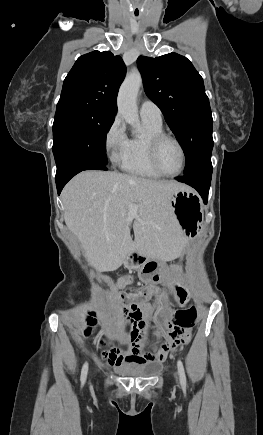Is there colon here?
I'll return each mask as SVG.
<instances>
[{
  "label": "colon",
  "instance_id": "obj_1",
  "mask_svg": "<svg viewBox=\"0 0 263 435\" xmlns=\"http://www.w3.org/2000/svg\"><path fill=\"white\" fill-rule=\"evenodd\" d=\"M152 295V291H147L144 293L118 294L117 298L123 301L130 299H137L141 301V297H148ZM141 303L147 307L145 303ZM95 316V312H91L89 314L88 323L90 327L88 330H86L87 334L94 332V327L97 324ZM197 319L198 309L194 306L182 311H178L175 314V323H180V328H175L169 336H174V341H177L179 345L184 343L188 339L190 330L195 325ZM125 334V336H121V339H123L122 343H114L112 340H109L107 347L110 350H113L114 348H128L129 350H153L155 348L156 350H162L169 343V340L166 337L154 339L153 335L145 328H140L138 331L135 328H128L125 331ZM139 339L145 340L140 341ZM99 348H104V343H99Z\"/></svg>",
  "mask_w": 263,
  "mask_h": 435
}]
</instances>
